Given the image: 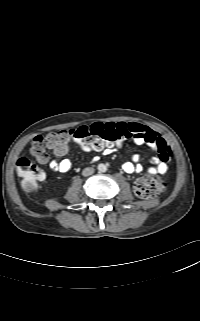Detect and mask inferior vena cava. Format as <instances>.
Segmentation results:
<instances>
[{"mask_svg":"<svg viewBox=\"0 0 200 321\" xmlns=\"http://www.w3.org/2000/svg\"><path fill=\"white\" fill-rule=\"evenodd\" d=\"M93 173H94V168H92V167H87L82 171V175L85 176V177L86 176H90Z\"/></svg>","mask_w":200,"mask_h":321,"instance_id":"obj_1","label":"inferior vena cava"}]
</instances>
